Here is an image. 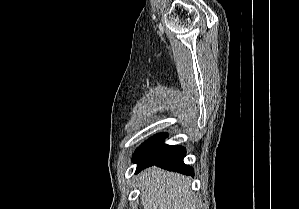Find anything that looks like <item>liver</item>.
Here are the masks:
<instances>
[{
    "mask_svg": "<svg viewBox=\"0 0 299 209\" xmlns=\"http://www.w3.org/2000/svg\"><path fill=\"white\" fill-rule=\"evenodd\" d=\"M139 180L144 209H194L187 177L152 167L143 171Z\"/></svg>",
    "mask_w": 299,
    "mask_h": 209,
    "instance_id": "liver-1",
    "label": "liver"
}]
</instances>
